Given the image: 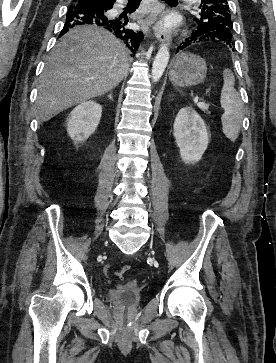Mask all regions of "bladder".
Listing matches in <instances>:
<instances>
[{
	"instance_id": "bladder-1",
	"label": "bladder",
	"mask_w": 276,
	"mask_h": 363,
	"mask_svg": "<svg viewBox=\"0 0 276 363\" xmlns=\"http://www.w3.org/2000/svg\"><path fill=\"white\" fill-rule=\"evenodd\" d=\"M108 293L112 299L125 306H135L141 299V288L135 285H119L110 288Z\"/></svg>"
}]
</instances>
